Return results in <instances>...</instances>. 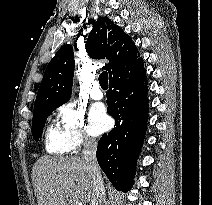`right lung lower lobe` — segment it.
I'll use <instances>...</instances> for the list:
<instances>
[{
    "mask_svg": "<svg viewBox=\"0 0 212 205\" xmlns=\"http://www.w3.org/2000/svg\"><path fill=\"white\" fill-rule=\"evenodd\" d=\"M108 113L115 127L98 142L97 160L117 190L128 191L146 134L149 99L146 70L141 57L110 77Z\"/></svg>",
    "mask_w": 212,
    "mask_h": 205,
    "instance_id": "right-lung-lower-lobe-1",
    "label": "right lung lower lobe"
}]
</instances>
